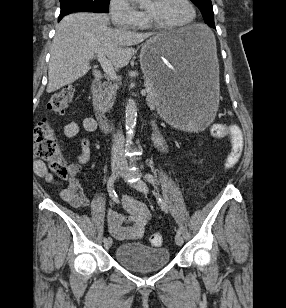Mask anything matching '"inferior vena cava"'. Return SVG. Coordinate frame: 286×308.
Wrapping results in <instances>:
<instances>
[{"mask_svg":"<svg viewBox=\"0 0 286 308\" xmlns=\"http://www.w3.org/2000/svg\"><path fill=\"white\" fill-rule=\"evenodd\" d=\"M123 133L122 131H117L114 135H113V145H112V153H113V158L114 159H118V155H117V151L118 149H120L122 147L123 144Z\"/></svg>","mask_w":286,"mask_h":308,"instance_id":"602c4592","label":"inferior vena cava"}]
</instances>
